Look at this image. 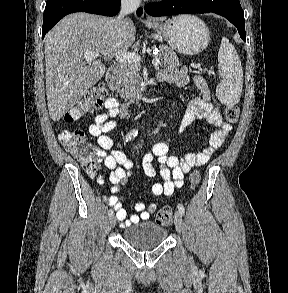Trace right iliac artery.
I'll use <instances>...</instances> for the list:
<instances>
[{"label":"right iliac artery","mask_w":288,"mask_h":293,"mask_svg":"<svg viewBox=\"0 0 288 293\" xmlns=\"http://www.w3.org/2000/svg\"><path fill=\"white\" fill-rule=\"evenodd\" d=\"M137 134H138V130H132L130 133L127 134L126 142L133 139L135 136H137ZM112 214H113V210L112 209L108 210V215H112Z\"/></svg>","instance_id":"1"}]
</instances>
